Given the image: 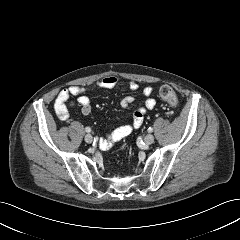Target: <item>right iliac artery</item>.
<instances>
[{
	"label": "right iliac artery",
	"instance_id": "obj_1",
	"mask_svg": "<svg viewBox=\"0 0 240 240\" xmlns=\"http://www.w3.org/2000/svg\"><path fill=\"white\" fill-rule=\"evenodd\" d=\"M85 131L88 132V133H90V132H91V128H90V127H86V128H85Z\"/></svg>",
	"mask_w": 240,
	"mask_h": 240
}]
</instances>
